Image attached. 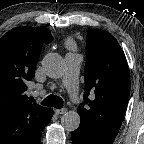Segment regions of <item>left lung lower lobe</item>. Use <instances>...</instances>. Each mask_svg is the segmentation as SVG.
<instances>
[{"label":"left lung lower lobe","instance_id":"0a47b994","mask_svg":"<svg viewBox=\"0 0 144 144\" xmlns=\"http://www.w3.org/2000/svg\"><path fill=\"white\" fill-rule=\"evenodd\" d=\"M71 137L73 144H112L114 141L110 138L95 136L82 126L73 131Z\"/></svg>","mask_w":144,"mask_h":144}]
</instances>
